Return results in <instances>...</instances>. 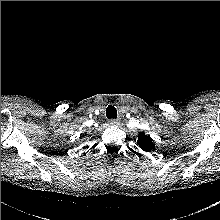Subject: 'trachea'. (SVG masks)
Returning a JSON list of instances; mask_svg holds the SVG:
<instances>
[{
    "label": "trachea",
    "instance_id": "1",
    "mask_svg": "<svg viewBox=\"0 0 220 220\" xmlns=\"http://www.w3.org/2000/svg\"><path fill=\"white\" fill-rule=\"evenodd\" d=\"M106 116L108 119H116L117 118V110L114 106L109 105L106 108Z\"/></svg>",
    "mask_w": 220,
    "mask_h": 220
}]
</instances>
